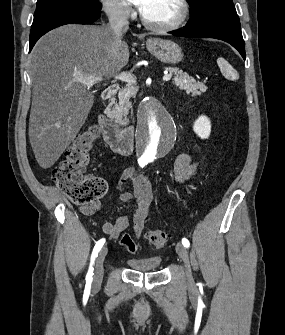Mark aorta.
<instances>
[{
	"label": "aorta",
	"instance_id": "aorta-1",
	"mask_svg": "<svg viewBox=\"0 0 285 335\" xmlns=\"http://www.w3.org/2000/svg\"><path fill=\"white\" fill-rule=\"evenodd\" d=\"M138 111L140 125L133 127V134L138 137L142 160H163L176 147L177 119H171V112H166L167 106L158 100V95H147V100H140Z\"/></svg>",
	"mask_w": 285,
	"mask_h": 335
}]
</instances>
